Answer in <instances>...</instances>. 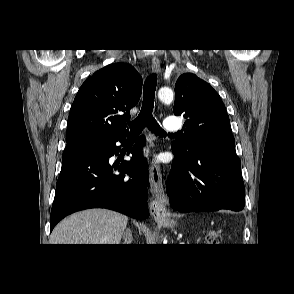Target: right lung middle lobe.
Segmentation results:
<instances>
[{
    "label": "right lung middle lobe",
    "mask_w": 294,
    "mask_h": 294,
    "mask_svg": "<svg viewBox=\"0 0 294 294\" xmlns=\"http://www.w3.org/2000/svg\"><path fill=\"white\" fill-rule=\"evenodd\" d=\"M97 141H79V142H74L71 144H67L65 147V150L73 149V148H78L82 146H87L96 143Z\"/></svg>",
    "instance_id": "obj_1"
}]
</instances>
